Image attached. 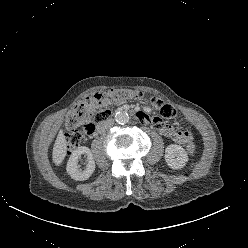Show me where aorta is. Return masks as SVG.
Instances as JSON below:
<instances>
[{"instance_id": "1", "label": "aorta", "mask_w": 248, "mask_h": 248, "mask_svg": "<svg viewBox=\"0 0 248 248\" xmlns=\"http://www.w3.org/2000/svg\"><path fill=\"white\" fill-rule=\"evenodd\" d=\"M115 120L118 124H126L129 121V115L124 111L117 112L115 115Z\"/></svg>"}]
</instances>
